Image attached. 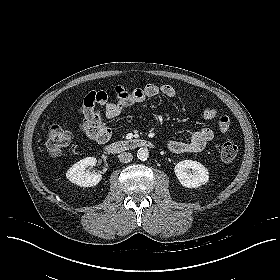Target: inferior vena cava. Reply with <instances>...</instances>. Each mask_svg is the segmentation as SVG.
<instances>
[{"instance_id": "602c4592", "label": "inferior vena cava", "mask_w": 280, "mask_h": 280, "mask_svg": "<svg viewBox=\"0 0 280 280\" xmlns=\"http://www.w3.org/2000/svg\"><path fill=\"white\" fill-rule=\"evenodd\" d=\"M133 159V155L129 152H123L119 155V160L122 163H129L130 161H132Z\"/></svg>"}]
</instances>
